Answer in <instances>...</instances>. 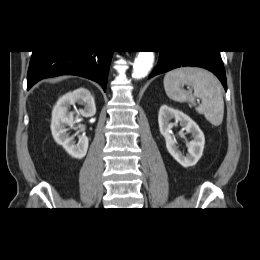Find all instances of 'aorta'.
<instances>
[{"mask_svg": "<svg viewBox=\"0 0 260 260\" xmlns=\"http://www.w3.org/2000/svg\"><path fill=\"white\" fill-rule=\"evenodd\" d=\"M153 62V51H140L133 64L132 77L135 79H141L145 77L152 68Z\"/></svg>", "mask_w": 260, "mask_h": 260, "instance_id": "obj_1", "label": "aorta"}]
</instances>
